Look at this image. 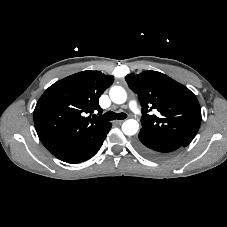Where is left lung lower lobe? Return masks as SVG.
Segmentation results:
<instances>
[{
    "label": "left lung lower lobe",
    "mask_w": 227,
    "mask_h": 227,
    "mask_svg": "<svg viewBox=\"0 0 227 227\" xmlns=\"http://www.w3.org/2000/svg\"><path fill=\"white\" fill-rule=\"evenodd\" d=\"M182 146L183 145L176 141L147 134L142 131H140L139 136L135 141L136 149L151 159L165 158Z\"/></svg>",
    "instance_id": "0a47b994"
}]
</instances>
